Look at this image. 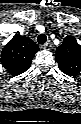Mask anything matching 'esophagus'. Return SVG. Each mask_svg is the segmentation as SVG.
Returning <instances> with one entry per match:
<instances>
[{"label": "esophagus", "instance_id": "1", "mask_svg": "<svg viewBox=\"0 0 81 124\" xmlns=\"http://www.w3.org/2000/svg\"><path fill=\"white\" fill-rule=\"evenodd\" d=\"M52 47V43L50 41L46 42L45 44L42 45L43 49L50 50Z\"/></svg>", "mask_w": 81, "mask_h": 124}]
</instances>
